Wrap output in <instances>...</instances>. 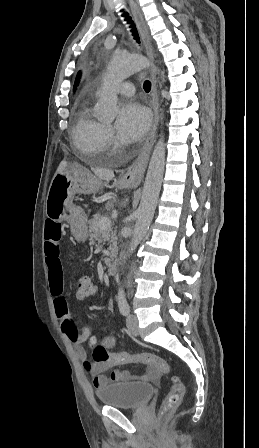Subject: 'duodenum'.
I'll return each mask as SVG.
<instances>
[{
    "mask_svg": "<svg viewBox=\"0 0 259 448\" xmlns=\"http://www.w3.org/2000/svg\"><path fill=\"white\" fill-rule=\"evenodd\" d=\"M120 268V263L118 260L112 261L108 266V274L111 276H115Z\"/></svg>",
    "mask_w": 259,
    "mask_h": 448,
    "instance_id": "duodenum-1",
    "label": "duodenum"
}]
</instances>
